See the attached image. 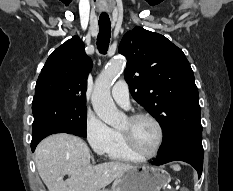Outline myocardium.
<instances>
[{
	"label": "myocardium",
	"mask_w": 233,
	"mask_h": 191,
	"mask_svg": "<svg viewBox=\"0 0 233 191\" xmlns=\"http://www.w3.org/2000/svg\"><path fill=\"white\" fill-rule=\"evenodd\" d=\"M140 119H148L150 120L157 128V131H158V142H157V145H156V148L155 150L150 153V154H145L143 152L140 151V149L137 147V145L135 144L131 134L127 131H120L126 145L128 146V148L134 153L136 154L137 156L141 157L142 159H151L153 157H155L161 147H162V144H163V140H164V131H163V127L161 125V123L158 121L157 118H155L153 115L149 114V113H137V114H134L132 116H130L128 118V120L130 122H136Z\"/></svg>",
	"instance_id": "1"
}]
</instances>
